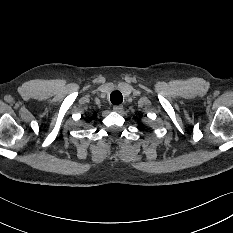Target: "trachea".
Listing matches in <instances>:
<instances>
[{
    "label": "trachea",
    "instance_id": "obj_1",
    "mask_svg": "<svg viewBox=\"0 0 233 233\" xmlns=\"http://www.w3.org/2000/svg\"><path fill=\"white\" fill-rule=\"evenodd\" d=\"M111 102L114 105L122 103V94L119 91H113L110 96Z\"/></svg>",
    "mask_w": 233,
    "mask_h": 233
}]
</instances>
